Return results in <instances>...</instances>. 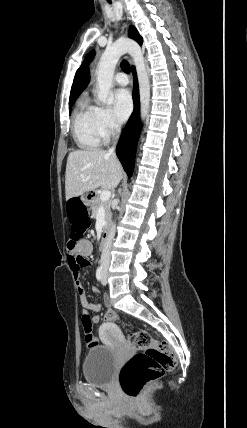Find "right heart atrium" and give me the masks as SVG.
<instances>
[{"instance_id": "right-heart-atrium-1", "label": "right heart atrium", "mask_w": 247, "mask_h": 428, "mask_svg": "<svg viewBox=\"0 0 247 428\" xmlns=\"http://www.w3.org/2000/svg\"><path fill=\"white\" fill-rule=\"evenodd\" d=\"M97 125L102 139L107 140L120 129L119 123L114 119L112 113L106 109L97 108Z\"/></svg>"}]
</instances>
